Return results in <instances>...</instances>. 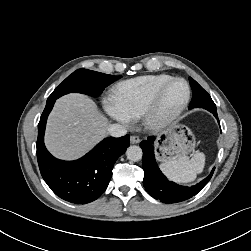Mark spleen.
<instances>
[{"label": "spleen", "mask_w": 251, "mask_h": 251, "mask_svg": "<svg viewBox=\"0 0 251 251\" xmlns=\"http://www.w3.org/2000/svg\"><path fill=\"white\" fill-rule=\"evenodd\" d=\"M205 166L204 153H196L189 159L182 156L178 159L170 160L160 164L162 172L172 181L178 183H189L196 179Z\"/></svg>", "instance_id": "3e777b00"}]
</instances>
